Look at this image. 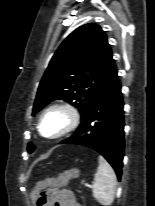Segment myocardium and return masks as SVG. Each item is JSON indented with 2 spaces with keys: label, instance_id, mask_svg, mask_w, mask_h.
<instances>
[{
  "label": "myocardium",
  "instance_id": "myocardium-1",
  "mask_svg": "<svg viewBox=\"0 0 155 206\" xmlns=\"http://www.w3.org/2000/svg\"><path fill=\"white\" fill-rule=\"evenodd\" d=\"M52 113L63 114L65 117V124L56 134L47 136L43 133V129H42L43 122L44 119ZM80 121H81L80 111L73 103L67 101L57 102L50 105L43 111V113L39 118L37 129L39 134L44 138L60 139L68 135L72 131H74L78 127Z\"/></svg>",
  "mask_w": 155,
  "mask_h": 206
}]
</instances>
